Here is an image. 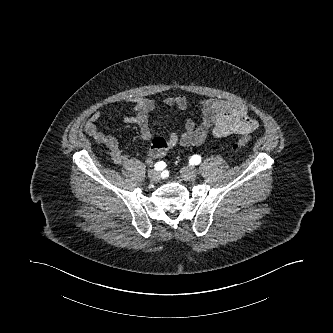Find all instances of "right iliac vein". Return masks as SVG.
<instances>
[{
    "mask_svg": "<svg viewBox=\"0 0 333 333\" xmlns=\"http://www.w3.org/2000/svg\"><path fill=\"white\" fill-rule=\"evenodd\" d=\"M147 174L151 181L156 182L160 179V173L156 169H149Z\"/></svg>",
    "mask_w": 333,
    "mask_h": 333,
    "instance_id": "1",
    "label": "right iliac vein"
}]
</instances>
